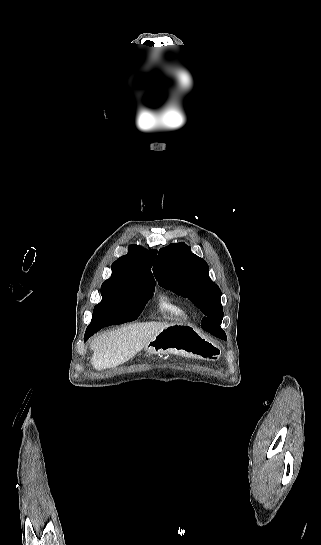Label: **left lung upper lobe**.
<instances>
[{"instance_id": "obj_1", "label": "left lung upper lobe", "mask_w": 321, "mask_h": 545, "mask_svg": "<svg viewBox=\"0 0 321 545\" xmlns=\"http://www.w3.org/2000/svg\"><path fill=\"white\" fill-rule=\"evenodd\" d=\"M153 272L160 286L187 297L201 310L202 323L209 315L223 317L221 290L209 278L207 263L185 243L161 248Z\"/></svg>"}]
</instances>
